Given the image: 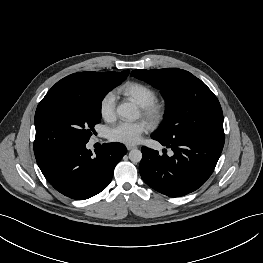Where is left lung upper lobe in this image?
Masks as SVG:
<instances>
[{
    "label": "left lung upper lobe",
    "mask_w": 263,
    "mask_h": 263,
    "mask_svg": "<svg viewBox=\"0 0 263 263\" xmlns=\"http://www.w3.org/2000/svg\"><path fill=\"white\" fill-rule=\"evenodd\" d=\"M131 76L160 89L166 100L165 119L153 135L171 140L224 134L218 99L190 72L178 68L134 70Z\"/></svg>",
    "instance_id": "obj_1"
}]
</instances>
